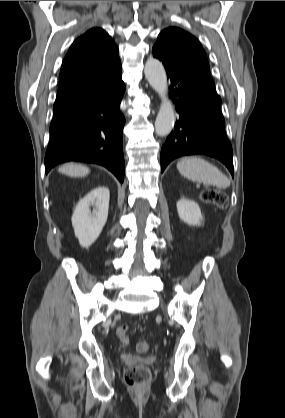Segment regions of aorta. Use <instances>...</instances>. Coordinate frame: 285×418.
Masks as SVG:
<instances>
[{
	"instance_id": "aorta-1",
	"label": "aorta",
	"mask_w": 285,
	"mask_h": 418,
	"mask_svg": "<svg viewBox=\"0 0 285 418\" xmlns=\"http://www.w3.org/2000/svg\"><path fill=\"white\" fill-rule=\"evenodd\" d=\"M144 73L150 86L161 98V106L155 121V132L158 136H166L174 127L175 111L167 96L168 84L164 66L159 60L150 58L145 63Z\"/></svg>"
}]
</instances>
